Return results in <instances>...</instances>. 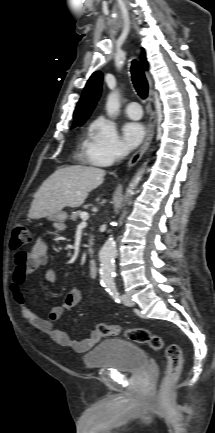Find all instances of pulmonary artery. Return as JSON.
<instances>
[{
	"instance_id": "1",
	"label": "pulmonary artery",
	"mask_w": 215,
	"mask_h": 433,
	"mask_svg": "<svg viewBox=\"0 0 215 433\" xmlns=\"http://www.w3.org/2000/svg\"><path fill=\"white\" fill-rule=\"evenodd\" d=\"M126 113L131 119H140L142 117V109L138 102H130L126 107Z\"/></svg>"
}]
</instances>
